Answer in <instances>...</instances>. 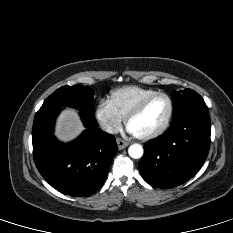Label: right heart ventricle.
Instances as JSON below:
<instances>
[{"label": "right heart ventricle", "instance_id": "1", "mask_svg": "<svg viewBox=\"0 0 233 233\" xmlns=\"http://www.w3.org/2000/svg\"><path fill=\"white\" fill-rule=\"evenodd\" d=\"M157 91L150 88L139 86H125L113 90L110 93L109 102L114 110L122 117L126 115L144 98L156 93Z\"/></svg>", "mask_w": 233, "mask_h": 233}]
</instances>
